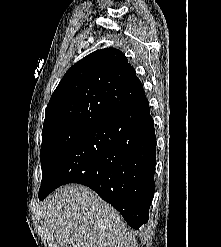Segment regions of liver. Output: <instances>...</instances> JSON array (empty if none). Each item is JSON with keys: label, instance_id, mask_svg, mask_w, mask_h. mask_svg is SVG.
Wrapping results in <instances>:
<instances>
[{"label": "liver", "instance_id": "6515ba94", "mask_svg": "<svg viewBox=\"0 0 221 247\" xmlns=\"http://www.w3.org/2000/svg\"><path fill=\"white\" fill-rule=\"evenodd\" d=\"M42 215L61 247H136L120 214L85 186L59 188L43 201Z\"/></svg>", "mask_w": 221, "mask_h": 247}]
</instances>
